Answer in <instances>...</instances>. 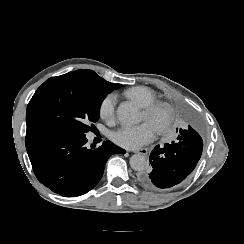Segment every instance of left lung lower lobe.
Instances as JSON below:
<instances>
[{
  "instance_id": "left-lung-lower-lobe-1",
  "label": "left lung lower lobe",
  "mask_w": 244,
  "mask_h": 244,
  "mask_svg": "<svg viewBox=\"0 0 244 244\" xmlns=\"http://www.w3.org/2000/svg\"><path fill=\"white\" fill-rule=\"evenodd\" d=\"M177 140L157 145L150 154L152 169L139 174V182L149 188H171L181 183L196 167L203 150L199 122L184 115L182 128H176Z\"/></svg>"
}]
</instances>
